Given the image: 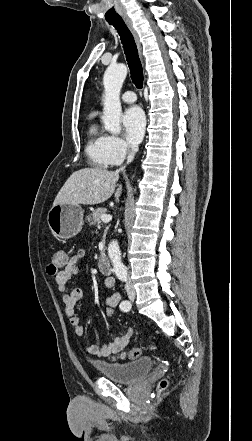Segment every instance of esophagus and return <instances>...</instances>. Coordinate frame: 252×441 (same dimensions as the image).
I'll use <instances>...</instances> for the list:
<instances>
[{
	"label": "esophagus",
	"instance_id": "34e87169",
	"mask_svg": "<svg viewBox=\"0 0 252 441\" xmlns=\"http://www.w3.org/2000/svg\"><path fill=\"white\" fill-rule=\"evenodd\" d=\"M124 22L127 25V27L129 28V30L131 31V33H132V35H133V37L135 39V42L137 44L139 52H141V43H140L138 33H137V31H136V29H135V27L133 25L132 20L129 17H125L124 18Z\"/></svg>",
	"mask_w": 252,
	"mask_h": 441
}]
</instances>
